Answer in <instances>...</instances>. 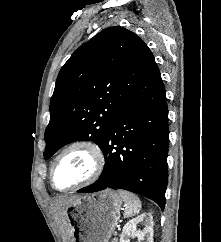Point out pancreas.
<instances>
[{"label":"pancreas","instance_id":"1","mask_svg":"<svg viewBox=\"0 0 221 242\" xmlns=\"http://www.w3.org/2000/svg\"><path fill=\"white\" fill-rule=\"evenodd\" d=\"M111 242H118V238L117 237L113 238Z\"/></svg>","mask_w":221,"mask_h":242}]
</instances>
